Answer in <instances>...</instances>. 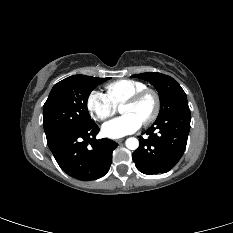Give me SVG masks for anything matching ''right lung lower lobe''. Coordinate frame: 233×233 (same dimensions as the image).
Returning a JSON list of instances; mask_svg holds the SVG:
<instances>
[{
  "label": "right lung lower lobe",
  "mask_w": 233,
  "mask_h": 233,
  "mask_svg": "<svg viewBox=\"0 0 233 233\" xmlns=\"http://www.w3.org/2000/svg\"><path fill=\"white\" fill-rule=\"evenodd\" d=\"M99 127L90 125L59 131L46 137L48 146L60 168L81 180L103 177L112 163V152L118 144L109 139L95 137Z\"/></svg>",
  "instance_id": "obj_1"
}]
</instances>
